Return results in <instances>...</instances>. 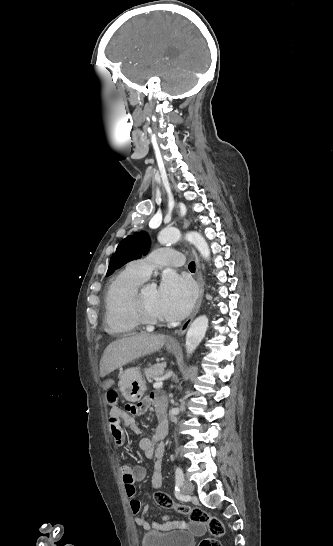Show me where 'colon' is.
Listing matches in <instances>:
<instances>
[{
    "label": "colon",
    "mask_w": 333,
    "mask_h": 546,
    "mask_svg": "<svg viewBox=\"0 0 333 546\" xmlns=\"http://www.w3.org/2000/svg\"><path fill=\"white\" fill-rule=\"evenodd\" d=\"M107 400L110 405L115 406L118 403L119 396L115 390L107 392ZM157 506L165 510H176L179 513L187 514L190 520L195 524L207 525L211 538L205 539L200 543V546H220L217 538L224 533V526L221 520L200 507H189L186 505L176 504L172 497L165 492H156L153 496Z\"/></svg>",
    "instance_id": "1"
}]
</instances>
